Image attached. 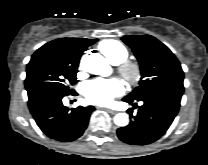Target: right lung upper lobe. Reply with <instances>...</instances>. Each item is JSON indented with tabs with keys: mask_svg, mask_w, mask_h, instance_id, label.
Returning a JSON list of instances; mask_svg holds the SVG:
<instances>
[{
	"mask_svg": "<svg viewBox=\"0 0 208 165\" xmlns=\"http://www.w3.org/2000/svg\"><path fill=\"white\" fill-rule=\"evenodd\" d=\"M54 41L65 44L69 47H82L84 48V50H86L87 47L94 44L97 41V39L90 40L83 38H60Z\"/></svg>",
	"mask_w": 208,
	"mask_h": 165,
	"instance_id": "right-lung-upper-lobe-1",
	"label": "right lung upper lobe"
}]
</instances>
